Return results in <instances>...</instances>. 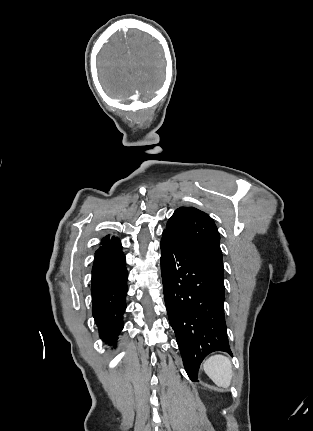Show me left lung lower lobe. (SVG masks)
I'll return each instance as SVG.
<instances>
[{
  "label": "left lung lower lobe",
  "mask_w": 313,
  "mask_h": 431,
  "mask_svg": "<svg viewBox=\"0 0 313 431\" xmlns=\"http://www.w3.org/2000/svg\"><path fill=\"white\" fill-rule=\"evenodd\" d=\"M161 275L166 309L189 378L197 381L203 359L214 351L232 355L223 303L224 273L182 249L163 233Z\"/></svg>",
  "instance_id": "1"
}]
</instances>
